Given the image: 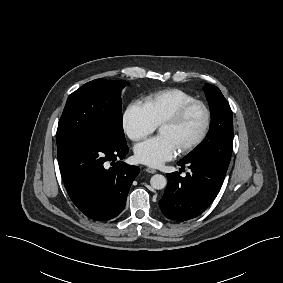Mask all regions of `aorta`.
<instances>
[{"label": "aorta", "instance_id": "1", "mask_svg": "<svg viewBox=\"0 0 283 283\" xmlns=\"http://www.w3.org/2000/svg\"><path fill=\"white\" fill-rule=\"evenodd\" d=\"M150 184L154 189L161 190L166 187L167 180L163 175L155 174L151 177Z\"/></svg>", "mask_w": 283, "mask_h": 283}]
</instances>
